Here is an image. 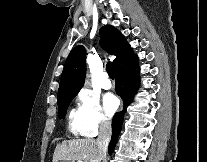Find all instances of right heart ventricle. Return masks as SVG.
Masks as SVG:
<instances>
[{
	"instance_id": "1",
	"label": "right heart ventricle",
	"mask_w": 207,
	"mask_h": 162,
	"mask_svg": "<svg viewBox=\"0 0 207 162\" xmlns=\"http://www.w3.org/2000/svg\"><path fill=\"white\" fill-rule=\"evenodd\" d=\"M68 128L75 135H83L81 131L80 112L73 108L68 115Z\"/></svg>"
}]
</instances>
